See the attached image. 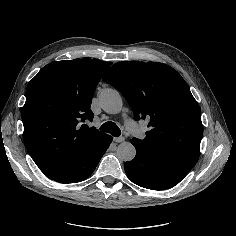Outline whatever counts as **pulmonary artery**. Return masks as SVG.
<instances>
[{
    "mask_svg": "<svg viewBox=\"0 0 236 236\" xmlns=\"http://www.w3.org/2000/svg\"><path fill=\"white\" fill-rule=\"evenodd\" d=\"M125 128L132 136H140L142 134V127L137 124L134 117H127L125 119Z\"/></svg>",
    "mask_w": 236,
    "mask_h": 236,
    "instance_id": "pulmonary-artery-1",
    "label": "pulmonary artery"
}]
</instances>
